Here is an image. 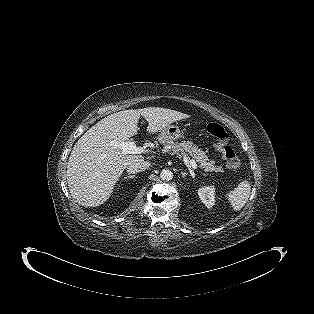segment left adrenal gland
<instances>
[{
	"mask_svg": "<svg viewBox=\"0 0 314 314\" xmlns=\"http://www.w3.org/2000/svg\"><path fill=\"white\" fill-rule=\"evenodd\" d=\"M181 175H182L183 178H185V176H187L188 173H186V172H181Z\"/></svg>",
	"mask_w": 314,
	"mask_h": 314,
	"instance_id": "a2214340",
	"label": "left adrenal gland"
}]
</instances>
